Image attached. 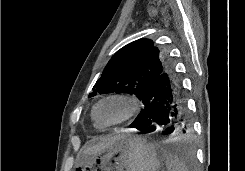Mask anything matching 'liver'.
<instances>
[{
	"mask_svg": "<svg viewBox=\"0 0 245 171\" xmlns=\"http://www.w3.org/2000/svg\"><path fill=\"white\" fill-rule=\"evenodd\" d=\"M119 137L120 135L108 136V137L102 138L99 142L85 147L82 150L81 154L83 156L97 154L98 152H101L102 150H105L111 147Z\"/></svg>",
	"mask_w": 245,
	"mask_h": 171,
	"instance_id": "obj_1",
	"label": "liver"
}]
</instances>
